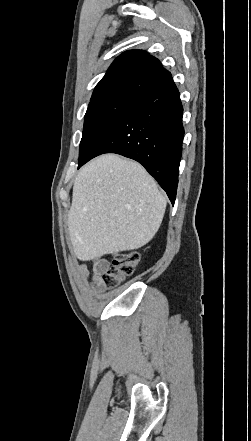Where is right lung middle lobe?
<instances>
[{
    "mask_svg": "<svg viewBox=\"0 0 251 441\" xmlns=\"http://www.w3.org/2000/svg\"><path fill=\"white\" fill-rule=\"evenodd\" d=\"M136 101L131 98H112L89 104L80 142L79 164L87 159L99 140Z\"/></svg>",
    "mask_w": 251,
    "mask_h": 441,
    "instance_id": "dd1d6c3e",
    "label": "right lung middle lobe"
}]
</instances>
